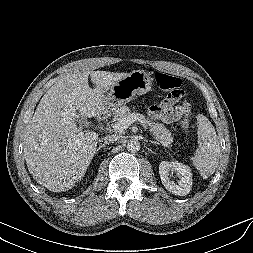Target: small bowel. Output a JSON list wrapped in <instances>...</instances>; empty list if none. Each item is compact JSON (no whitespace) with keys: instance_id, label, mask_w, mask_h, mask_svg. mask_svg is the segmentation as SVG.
Wrapping results in <instances>:
<instances>
[{"instance_id":"obj_1","label":"small bowel","mask_w":253,"mask_h":253,"mask_svg":"<svg viewBox=\"0 0 253 253\" xmlns=\"http://www.w3.org/2000/svg\"><path fill=\"white\" fill-rule=\"evenodd\" d=\"M178 98L168 96L158 104L152 105L149 109L150 114L164 123H171L184 116L182 106H177Z\"/></svg>"}]
</instances>
